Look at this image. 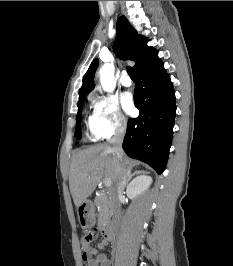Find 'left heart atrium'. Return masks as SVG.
I'll use <instances>...</instances> for the list:
<instances>
[{"instance_id": "obj_1", "label": "left heart atrium", "mask_w": 233, "mask_h": 266, "mask_svg": "<svg viewBox=\"0 0 233 266\" xmlns=\"http://www.w3.org/2000/svg\"><path fill=\"white\" fill-rule=\"evenodd\" d=\"M122 105L126 113L132 114L135 110L133 97L130 93H125L122 96Z\"/></svg>"}]
</instances>
